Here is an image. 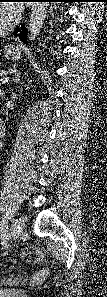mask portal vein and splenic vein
Segmentation results:
<instances>
[{"label": "portal vein and splenic vein", "mask_w": 107, "mask_h": 297, "mask_svg": "<svg viewBox=\"0 0 107 297\" xmlns=\"http://www.w3.org/2000/svg\"><path fill=\"white\" fill-rule=\"evenodd\" d=\"M8 81H9V77H8V76H6V77H2V78L0 79V82H1L2 84L7 83Z\"/></svg>", "instance_id": "obj_1"}]
</instances>
